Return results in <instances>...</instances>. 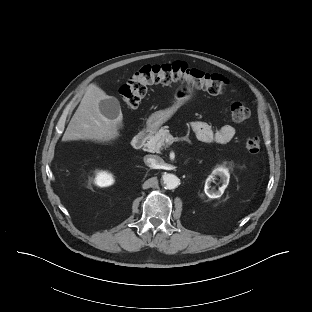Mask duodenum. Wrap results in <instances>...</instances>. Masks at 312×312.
I'll use <instances>...</instances> for the list:
<instances>
[{
  "mask_svg": "<svg viewBox=\"0 0 312 312\" xmlns=\"http://www.w3.org/2000/svg\"><path fill=\"white\" fill-rule=\"evenodd\" d=\"M151 132H152V128L147 127L143 129L142 131H140L139 133H137L131 140L132 147L135 149L142 148L145 145Z\"/></svg>",
  "mask_w": 312,
  "mask_h": 312,
  "instance_id": "410a0bca",
  "label": "duodenum"
}]
</instances>
